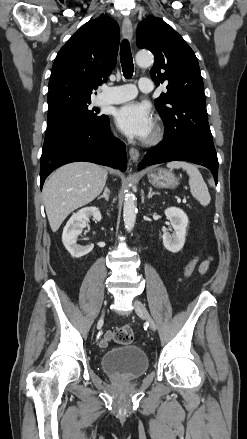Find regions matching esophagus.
Wrapping results in <instances>:
<instances>
[{
	"label": "esophagus",
	"mask_w": 247,
	"mask_h": 439,
	"mask_svg": "<svg viewBox=\"0 0 247 439\" xmlns=\"http://www.w3.org/2000/svg\"><path fill=\"white\" fill-rule=\"evenodd\" d=\"M122 34L128 40H131L133 37V26H132V22H131L130 18H128V17L124 18V20H123ZM129 155H130V159L133 162H137V160L139 159V151L136 148H133V147L130 148Z\"/></svg>",
	"instance_id": "1"
}]
</instances>
